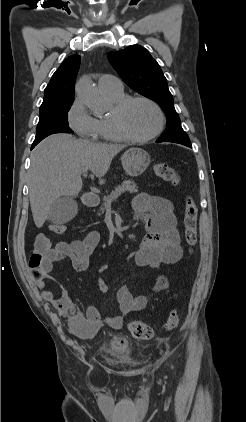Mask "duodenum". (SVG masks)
I'll list each match as a JSON object with an SVG mask.
<instances>
[{
  "label": "duodenum",
  "instance_id": "410a0bca",
  "mask_svg": "<svg viewBox=\"0 0 246 422\" xmlns=\"http://www.w3.org/2000/svg\"><path fill=\"white\" fill-rule=\"evenodd\" d=\"M83 203L88 208H93L98 204V200L93 195H87L83 198Z\"/></svg>",
  "mask_w": 246,
  "mask_h": 422
}]
</instances>
